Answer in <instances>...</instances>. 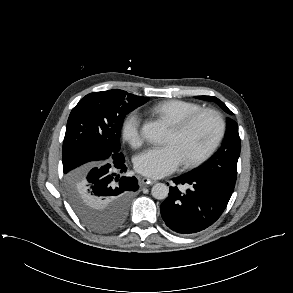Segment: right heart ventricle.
Segmentation results:
<instances>
[{"label":"right heart ventricle","instance_id":"1","mask_svg":"<svg viewBox=\"0 0 293 293\" xmlns=\"http://www.w3.org/2000/svg\"><path fill=\"white\" fill-rule=\"evenodd\" d=\"M202 106L184 100L171 99L162 101L153 106L152 112L165 119L170 125L184 118L185 116L201 109Z\"/></svg>","mask_w":293,"mask_h":293}]
</instances>
